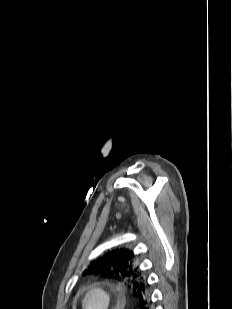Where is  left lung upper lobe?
<instances>
[{
  "label": "left lung upper lobe",
  "mask_w": 232,
  "mask_h": 309,
  "mask_svg": "<svg viewBox=\"0 0 232 309\" xmlns=\"http://www.w3.org/2000/svg\"><path fill=\"white\" fill-rule=\"evenodd\" d=\"M132 250L114 249L93 260L83 275H97L101 278L124 282L138 304L150 300L148 285L141 277Z\"/></svg>",
  "instance_id": "obj_1"
}]
</instances>
